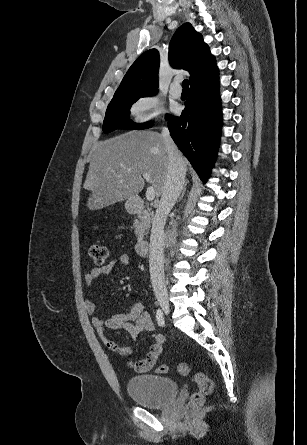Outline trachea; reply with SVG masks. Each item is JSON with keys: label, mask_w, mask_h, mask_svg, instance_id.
<instances>
[{"label": "trachea", "mask_w": 307, "mask_h": 445, "mask_svg": "<svg viewBox=\"0 0 307 445\" xmlns=\"http://www.w3.org/2000/svg\"><path fill=\"white\" fill-rule=\"evenodd\" d=\"M182 87H183V89H188V87H189V80H187V79L183 80Z\"/></svg>", "instance_id": "1"}]
</instances>
